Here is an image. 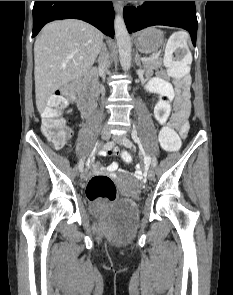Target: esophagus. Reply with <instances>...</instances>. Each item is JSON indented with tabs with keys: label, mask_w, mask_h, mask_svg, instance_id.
Wrapping results in <instances>:
<instances>
[{
	"label": "esophagus",
	"mask_w": 233,
	"mask_h": 295,
	"mask_svg": "<svg viewBox=\"0 0 233 295\" xmlns=\"http://www.w3.org/2000/svg\"><path fill=\"white\" fill-rule=\"evenodd\" d=\"M113 6L116 12L121 13L123 10V5L121 1H113Z\"/></svg>",
	"instance_id": "34e87169"
}]
</instances>
